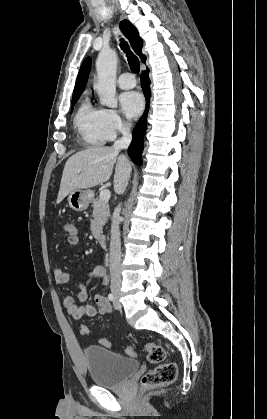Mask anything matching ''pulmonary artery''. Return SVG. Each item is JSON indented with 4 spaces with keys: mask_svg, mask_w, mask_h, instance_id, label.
I'll return each mask as SVG.
<instances>
[{
    "mask_svg": "<svg viewBox=\"0 0 267 419\" xmlns=\"http://www.w3.org/2000/svg\"><path fill=\"white\" fill-rule=\"evenodd\" d=\"M117 83L122 89H130L135 87L136 80L131 73L126 72L119 76Z\"/></svg>",
    "mask_w": 267,
    "mask_h": 419,
    "instance_id": "1",
    "label": "pulmonary artery"
}]
</instances>
